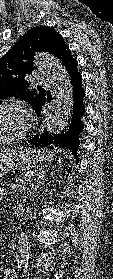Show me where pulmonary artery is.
Listing matches in <instances>:
<instances>
[{
	"label": "pulmonary artery",
	"mask_w": 113,
	"mask_h": 279,
	"mask_svg": "<svg viewBox=\"0 0 113 279\" xmlns=\"http://www.w3.org/2000/svg\"><path fill=\"white\" fill-rule=\"evenodd\" d=\"M37 82L39 84L48 85L49 84V78L42 75V76L37 77Z\"/></svg>",
	"instance_id": "obj_1"
}]
</instances>
